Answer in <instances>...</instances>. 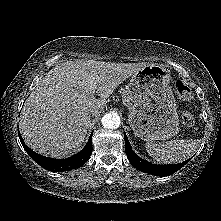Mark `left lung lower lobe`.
Wrapping results in <instances>:
<instances>
[{
	"instance_id": "obj_1",
	"label": "left lung lower lobe",
	"mask_w": 221,
	"mask_h": 221,
	"mask_svg": "<svg viewBox=\"0 0 221 221\" xmlns=\"http://www.w3.org/2000/svg\"><path fill=\"white\" fill-rule=\"evenodd\" d=\"M124 138H125V151L128 160L130 161L133 167H135L137 170H140L142 172H146L156 176H166V175L168 176L181 169L190 160L188 159L183 163L174 164V165L151 164L148 161L141 159L138 155L134 153L126 134H124Z\"/></svg>"
}]
</instances>
